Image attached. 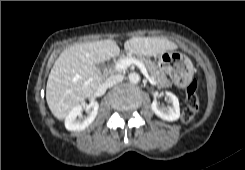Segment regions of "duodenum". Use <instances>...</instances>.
Segmentation results:
<instances>
[{"instance_id":"obj_1","label":"duodenum","mask_w":245,"mask_h":170,"mask_svg":"<svg viewBox=\"0 0 245 170\" xmlns=\"http://www.w3.org/2000/svg\"><path fill=\"white\" fill-rule=\"evenodd\" d=\"M107 75L108 76H113V75H115V71L109 70V71H107Z\"/></svg>"}]
</instances>
